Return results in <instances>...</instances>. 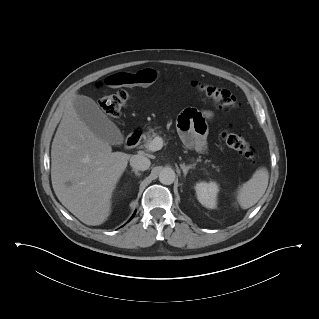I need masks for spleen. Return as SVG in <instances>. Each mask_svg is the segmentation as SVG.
<instances>
[{"label": "spleen", "mask_w": 319, "mask_h": 319, "mask_svg": "<svg viewBox=\"0 0 319 319\" xmlns=\"http://www.w3.org/2000/svg\"><path fill=\"white\" fill-rule=\"evenodd\" d=\"M269 180V173L265 167L257 169L252 178L239 187L237 201L243 209L255 205L264 195Z\"/></svg>", "instance_id": "3e777b00"}]
</instances>
